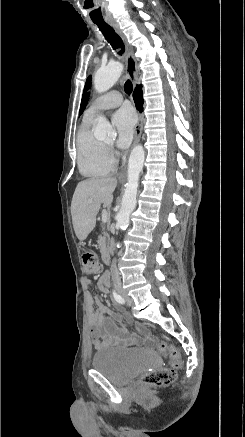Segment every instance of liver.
Segmentation results:
<instances>
[{
  "label": "liver",
  "mask_w": 245,
  "mask_h": 437,
  "mask_svg": "<svg viewBox=\"0 0 245 437\" xmlns=\"http://www.w3.org/2000/svg\"><path fill=\"white\" fill-rule=\"evenodd\" d=\"M117 179L91 178L78 183L71 202L72 223L75 234L83 241L96 226V216L101 204L111 206ZM92 199V202H89Z\"/></svg>",
  "instance_id": "obj_1"
}]
</instances>
